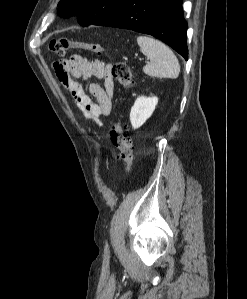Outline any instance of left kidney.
<instances>
[{"label": "left kidney", "instance_id": "obj_1", "mask_svg": "<svg viewBox=\"0 0 247 299\" xmlns=\"http://www.w3.org/2000/svg\"><path fill=\"white\" fill-rule=\"evenodd\" d=\"M158 103L157 97L139 96L130 111V122L134 129L141 127L153 114Z\"/></svg>", "mask_w": 247, "mask_h": 299}]
</instances>
